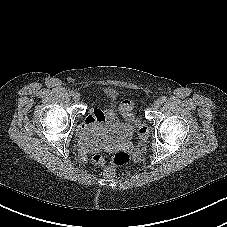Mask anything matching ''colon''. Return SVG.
<instances>
[{
    "instance_id": "obj_1",
    "label": "colon",
    "mask_w": 227,
    "mask_h": 227,
    "mask_svg": "<svg viewBox=\"0 0 227 227\" xmlns=\"http://www.w3.org/2000/svg\"><path fill=\"white\" fill-rule=\"evenodd\" d=\"M131 109L132 104L130 101L123 102L121 111L125 118L127 119L133 118ZM138 136H139L138 147L133 153L127 151H119L115 153L108 162H106L100 155L96 154L92 158L93 163L99 164L103 167V173L106 177L108 178L113 177L118 168L125 167L139 160L142 147L146 143L148 138L147 127L140 126L138 129Z\"/></svg>"
}]
</instances>
